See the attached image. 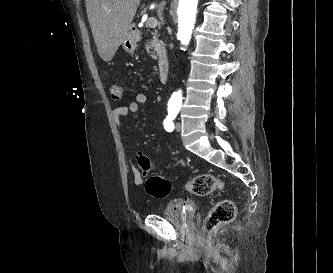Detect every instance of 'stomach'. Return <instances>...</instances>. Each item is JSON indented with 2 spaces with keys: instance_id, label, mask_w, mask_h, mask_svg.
Listing matches in <instances>:
<instances>
[{
  "instance_id": "stomach-1",
  "label": "stomach",
  "mask_w": 333,
  "mask_h": 273,
  "mask_svg": "<svg viewBox=\"0 0 333 273\" xmlns=\"http://www.w3.org/2000/svg\"><path fill=\"white\" fill-rule=\"evenodd\" d=\"M136 43H137V35L134 31H129L128 35L125 37V39L122 42V47L127 51L128 53H133L136 49Z\"/></svg>"
}]
</instances>
